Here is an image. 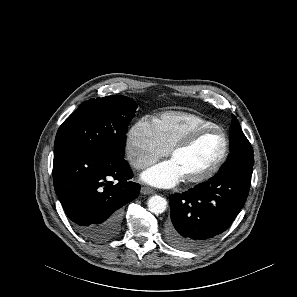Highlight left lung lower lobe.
I'll return each mask as SVG.
<instances>
[{"label": "left lung lower lobe", "mask_w": 297, "mask_h": 297, "mask_svg": "<svg viewBox=\"0 0 297 297\" xmlns=\"http://www.w3.org/2000/svg\"><path fill=\"white\" fill-rule=\"evenodd\" d=\"M252 169L223 170L211 180L170 196L166 237L174 247L197 250L224 232L243 208Z\"/></svg>", "instance_id": "obj_1"}]
</instances>
